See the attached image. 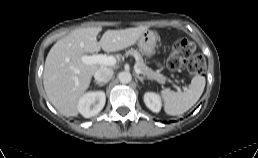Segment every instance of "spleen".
<instances>
[{
  "label": "spleen",
  "mask_w": 258,
  "mask_h": 158,
  "mask_svg": "<svg viewBox=\"0 0 258 158\" xmlns=\"http://www.w3.org/2000/svg\"><path fill=\"white\" fill-rule=\"evenodd\" d=\"M205 84V77L203 75H196L183 92H174L168 89L162 90L161 95L165 102V112L176 116L188 111L201 97Z\"/></svg>",
  "instance_id": "3e777b00"
}]
</instances>
